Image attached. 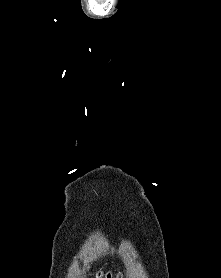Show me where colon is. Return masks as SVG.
Segmentation results:
<instances>
[{"label":"colon","instance_id":"1","mask_svg":"<svg viewBox=\"0 0 221 278\" xmlns=\"http://www.w3.org/2000/svg\"><path fill=\"white\" fill-rule=\"evenodd\" d=\"M104 278H111L110 274H107L106 276H104Z\"/></svg>","mask_w":221,"mask_h":278}]
</instances>
